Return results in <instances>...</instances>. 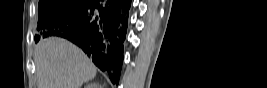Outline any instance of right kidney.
Listing matches in <instances>:
<instances>
[{"instance_id": "right-kidney-1", "label": "right kidney", "mask_w": 267, "mask_h": 88, "mask_svg": "<svg viewBox=\"0 0 267 88\" xmlns=\"http://www.w3.org/2000/svg\"><path fill=\"white\" fill-rule=\"evenodd\" d=\"M85 88H102V86L99 83L92 82L85 86Z\"/></svg>"}]
</instances>
